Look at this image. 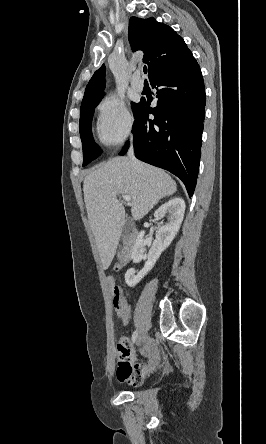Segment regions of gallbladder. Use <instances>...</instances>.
<instances>
[{
    "label": "gallbladder",
    "instance_id": "gallbladder-1",
    "mask_svg": "<svg viewBox=\"0 0 266 444\" xmlns=\"http://www.w3.org/2000/svg\"><path fill=\"white\" fill-rule=\"evenodd\" d=\"M129 232H130V221H126L123 228V235L128 236Z\"/></svg>",
    "mask_w": 266,
    "mask_h": 444
}]
</instances>
